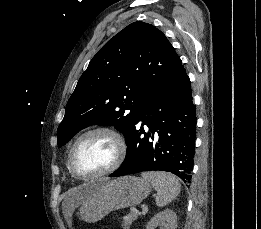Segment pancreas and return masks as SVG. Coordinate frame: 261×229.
I'll return each mask as SVG.
<instances>
[{"label":"pancreas","mask_w":261,"mask_h":229,"mask_svg":"<svg viewBox=\"0 0 261 229\" xmlns=\"http://www.w3.org/2000/svg\"><path fill=\"white\" fill-rule=\"evenodd\" d=\"M128 219H123V221H121V227L122 229H130V225H132L133 221H136L137 217H138V213L133 214V213H129V215H127Z\"/></svg>","instance_id":"pancreas-1"}]
</instances>
